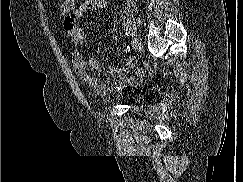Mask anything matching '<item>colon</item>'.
I'll list each match as a JSON object with an SVG mask.
<instances>
[{
    "label": "colon",
    "mask_w": 243,
    "mask_h": 182,
    "mask_svg": "<svg viewBox=\"0 0 243 182\" xmlns=\"http://www.w3.org/2000/svg\"><path fill=\"white\" fill-rule=\"evenodd\" d=\"M76 8V0H64L61 4L60 10L63 14L71 15Z\"/></svg>",
    "instance_id": "1"
}]
</instances>
